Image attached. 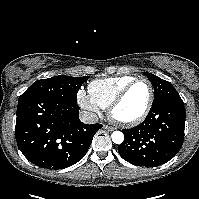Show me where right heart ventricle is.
Listing matches in <instances>:
<instances>
[{
    "instance_id": "1",
    "label": "right heart ventricle",
    "mask_w": 199,
    "mask_h": 199,
    "mask_svg": "<svg viewBox=\"0 0 199 199\" xmlns=\"http://www.w3.org/2000/svg\"><path fill=\"white\" fill-rule=\"evenodd\" d=\"M132 76L110 77L92 81L88 85V93L101 108H107L121 90L132 80Z\"/></svg>"
}]
</instances>
